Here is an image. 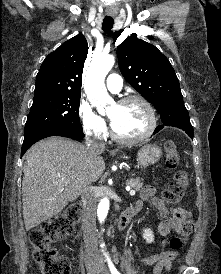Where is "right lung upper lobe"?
<instances>
[{
  "label": "right lung upper lobe",
  "mask_w": 221,
  "mask_h": 274,
  "mask_svg": "<svg viewBox=\"0 0 221 274\" xmlns=\"http://www.w3.org/2000/svg\"><path fill=\"white\" fill-rule=\"evenodd\" d=\"M88 44L83 34L64 42L43 61L36 76L34 99L81 94V79Z\"/></svg>",
  "instance_id": "right-lung-upper-lobe-1"
}]
</instances>
